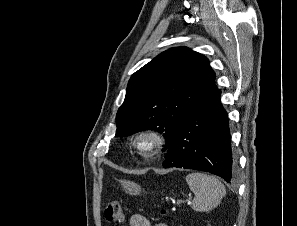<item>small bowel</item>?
<instances>
[{
    "label": "small bowel",
    "instance_id": "obj_1",
    "mask_svg": "<svg viewBox=\"0 0 297 226\" xmlns=\"http://www.w3.org/2000/svg\"><path fill=\"white\" fill-rule=\"evenodd\" d=\"M129 226H152L150 221L141 214H134L130 217ZM155 226H167L164 223H159Z\"/></svg>",
    "mask_w": 297,
    "mask_h": 226
}]
</instances>
